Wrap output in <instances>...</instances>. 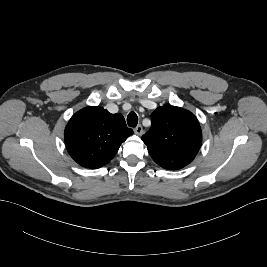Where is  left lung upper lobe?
Listing matches in <instances>:
<instances>
[{
	"label": "left lung upper lobe",
	"instance_id": "obj_1",
	"mask_svg": "<svg viewBox=\"0 0 267 267\" xmlns=\"http://www.w3.org/2000/svg\"><path fill=\"white\" fill-rule=\"evenodd\" d=\"M152 159L164 169L187 166L197 155L202 134L197 118L175 106L158 107L151 116V128L142 136Z\"/></svg>",
	"mask_w": 267,
	"mask_h": 267
}]
</instances>
